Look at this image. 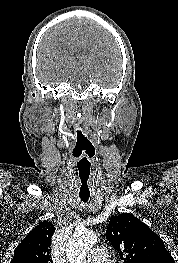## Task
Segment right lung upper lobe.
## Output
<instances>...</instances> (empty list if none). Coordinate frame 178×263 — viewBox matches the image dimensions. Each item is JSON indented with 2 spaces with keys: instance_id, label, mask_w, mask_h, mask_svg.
<instances>
[{
  "instance_id": "obj_1",
  "label": "right lung upper lobe",
  "mask_w": 178,
  "mask_h": 263,
  "mask_svg": "<svg viewBox=\"0 0 178 263\" xmlns=\"http://www.w3.org/2000/svg\"><path fill=\"white\" fill-rule=\"evenodd\" d=\"M54 226L40 222L17 246L11 263H52L51 238Z\"/></svg>"
}]
</instances>
